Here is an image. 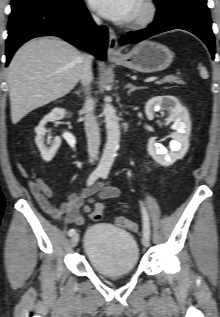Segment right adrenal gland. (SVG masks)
Returning <instances> with one entry per match:
<instances>
[{
	"instance_id": "obj_1",
	"label": "right adrenal gland",
	"mask_w": 220,
	"mask_h": 317,
	"mask_svg": "<svg viewBox=\"0 0 220 317\" xmlns=\"http://www.w3.org/2000/svg\"><path fill=\"white\" fill-rule=\"evenodd\" d=\"M74 93H75L76 95H78L79 97H82L80 90H77V91H75Z\"/></svg>"
}]
</instances>
